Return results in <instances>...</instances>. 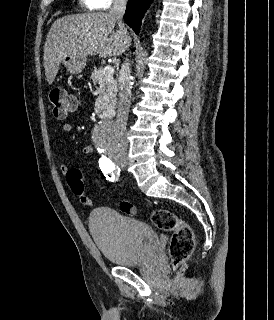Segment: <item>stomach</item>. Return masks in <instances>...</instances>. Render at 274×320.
Here are the masks:
<instances>
[{
  "instance_id": "0dacf381",
  "label": "stomach",
  "mask_w": 274,
  "mask_h": 320,
  "mask_svg": "<svg viewBox=\"0 0 274 320\" xmlns=\"http://www.w3.org/2000/svg\"><path fill=\"white\" fill-rule=\"evenodd\" d=\"M87 58H74V56H65L62 60L63 66L70 70L72 74H80L86 66Z\"/></svg>"
}]
</instances>
